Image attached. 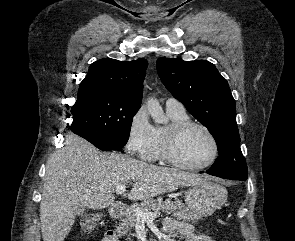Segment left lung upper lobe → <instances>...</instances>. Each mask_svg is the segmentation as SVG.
<instances>
[{"instance_id":"left-lung-upper-lobe-1","label":"left lung upper lobe","mask_w":295,"mask_h":241,"mask_svg":"<svg viewBox=\"0 0 295 241\" xmlns=\"http://www.w3.org/2000/svg\"><path fill=\"white\" fill-rule=\"evenodd\" d=\"M156 65L168 91L215 138L219 157L209 170L225 178L246 180L248 171L239 147L235 100L226 79L205 60L159 58Z\"/></svg>"}]
</instances>
